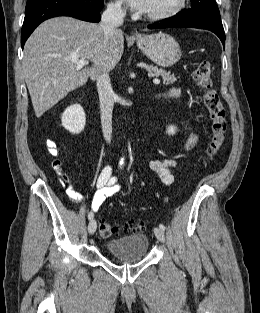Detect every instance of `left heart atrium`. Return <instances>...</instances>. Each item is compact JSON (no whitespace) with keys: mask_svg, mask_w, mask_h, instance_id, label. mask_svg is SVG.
I'll return each instance as SVG.
<instances>
[{"mask_svg":"<svg viewBox=\"0 0 260 313\" xmlns=\"http://www.w3.org/2000/svg\"><path fill=\"white\" fill-rule=\"evenodd\" d=\"M132 9L146 12L149 0H124Z\"/></svg>","mask_w":260,"mask_h":313,"instance_id":"1","label":"left heart atrium"}]
</instances>
